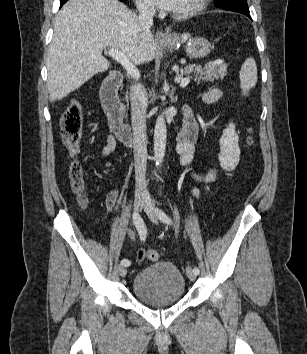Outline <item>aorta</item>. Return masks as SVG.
<instances>
[{"mask_svg":"<svg viewBox=\"0 0 307 354\" xmlns=\"http://www.w3.org/2000/svg\"><path fill=\"white\" fill-rule=\"evenodd\" d=\"M167 129L163 115L157 117L154 129V161L156 166L163 162L166 150Z\"/></svg>","mask_w":307,"mask_h":354,"instance_id":"aorta-1","label":"aorta"}]
</instances>
